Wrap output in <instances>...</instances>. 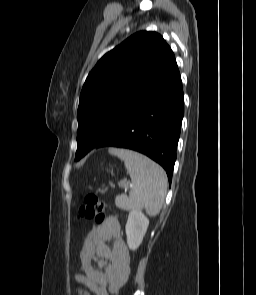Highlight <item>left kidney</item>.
I'll return each mask as SVG.
<instances>
[{"instance_id":"left-kidney-1","label":"left kidney","mask_w":256,"mask_h":295,"mask_svg":"<svg viewBox=\"0 0 256 295\" xmlns=\"http://www.w3.org/2000/svg\"><path fill=\"white\" fill-rule=\"evenodd\" d=\"M149 225L148 218L138 209L132 210L126 223L127 244L131 250H136L143 241Z\"/></svg>"}]
</instances>
